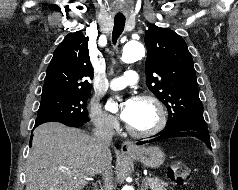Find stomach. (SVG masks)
Returning a JSON list of instances; mask_svg holds the SVG:
<instances>
[{"label": "stomach", "instance_id": "obj_1", "mask_svg": "<svg viewBox=\"0 0 238 190\" xmlns=\"http://www.w3.org/2000/svg\"><path fill=\"white\" fill-rule=\"evenodd\" d=\"M135 160L147 167L158 168L165 161V154L159 147H140L137 151L129 153Z\"/></svg>", "mask_w": 238, "mask_h": 190}]
</instances>
